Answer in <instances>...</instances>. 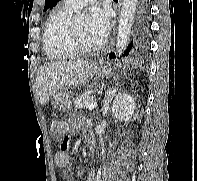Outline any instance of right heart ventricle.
Wrapping results in <instances>:
<instances>
[{
  "label": "right heart ventricle",
  "instance_id": "right-heart-ventricle-1",
  "mask_svg": "<svg viewBox=\"0 0 197 181\" xmlns=\"http://www.w3.org/2000/svg\"><path fill=\"white\" fill-rule=\"evenodd\" d=\"M71 12L72 10L64 6L51 13L46 22L43 47L51 59H71L78 55L70 46L68 39Z\"/></svg>",
  "mask_w": 197,
  "mask_h": 181
}]
</instances>
